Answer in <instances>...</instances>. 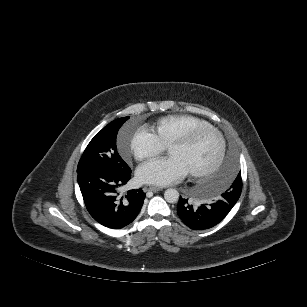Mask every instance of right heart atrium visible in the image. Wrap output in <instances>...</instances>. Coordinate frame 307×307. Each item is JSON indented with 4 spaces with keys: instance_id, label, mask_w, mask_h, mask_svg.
<instances>
[{
    "instance_id": "right-heart-atrium-1",
    "label": "right heart atrium",
    "mask_w": 307,
    "mask_h": 307,
    "mask_svg": "<svg viewBox=\"0 0 307 307\" xmlns=\"http://www.w3.org/2000/svg\"><path fill=\"white\" fill-rule=\"evenodd\" d=\"M128 147L137 160L156 156L165 150V145L149 128L141 127L128 138Z\"/></svg>"
}]
</instances>
